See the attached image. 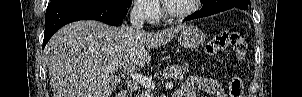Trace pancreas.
Here are the masks:
<instances>
[{
    "instance_id": "obj_1",
    "label": "pancreas",
    "mask_w": 302,
    "mask_h": 97,
    "mask_svg": "<svg viewBox=\"0 0 302 97\" xmlns=\"http://www.w3.org/2000/svg\"><path fill=\"white\" fill-rule=\"evenodd\" d=\"M188 73V67L185 65H169L165 70L162 71L160 79H174L178 80L183 78ZM141 97H152L150 90H145Z\"/></svg>"
}]
</instances>
